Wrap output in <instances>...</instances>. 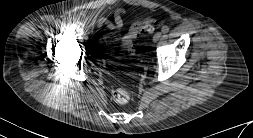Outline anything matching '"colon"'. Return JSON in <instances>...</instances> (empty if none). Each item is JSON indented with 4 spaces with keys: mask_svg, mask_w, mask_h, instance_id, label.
Masks as SVG:
<instances>
[{
    "mask_svg": "<svg viewBox=\"0 0 253 138\" xmlns=\"http://www.w3.org/2000/svg\"><path fill=\"white\" fill-rule=\"evenodd\" d=\"M154 31V21L150 18L134 22L127 35L123 38L120 48L123 53L131 52L133 41L142 34ZM113 100L119 104H125L130 99V92L124 88L116 89L112 94Z\"/></svg>",
    "mask_w": 253,
    "mask_h": 138,
    "instance_id": "5ec220e1",
    "label": "colon"
}]
</instances>
